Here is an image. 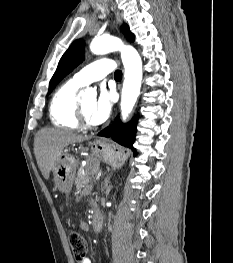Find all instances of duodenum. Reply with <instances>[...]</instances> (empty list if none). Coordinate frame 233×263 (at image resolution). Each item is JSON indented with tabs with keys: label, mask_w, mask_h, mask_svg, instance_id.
Listing matches in <instances>:
<instances>
[{
	"label": "duodenum",
	"mask_w": 233,
	"mask_h": 263,
	"mask_svg": "<svg viewBox=\"0 0 233 263\" xmlns=\"http://www.w3.org/2000/svg\"><path fill=\"white\" fill-rule=\"evenodd\" d=\"M103 226V220L101 213L94 208L93 215H92V228L95 233H99Z\"/></svg>",
	"instance_id": "obj_1"
}]
</instances>
